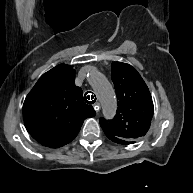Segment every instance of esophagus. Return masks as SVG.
<instances>
[{"mask_svg": "<svg viewBox=\"0 0 193 193\" xmlns=\"http://www.w3.org/2000/svg\"><path fill=\"white\" fill-rule=\"evenodd\" d=\"M90 95H92V94H90ZM94 110H95L97 113L99 112V110H100V104H99L98 102L95 103V105H94Z\"/></svg>", "mask_w": 193, "mask_h": 193, "instance_id": "1", "label": "esophagus"}]
</instances>
